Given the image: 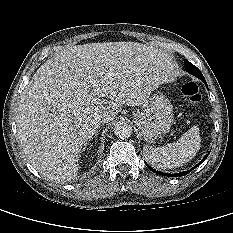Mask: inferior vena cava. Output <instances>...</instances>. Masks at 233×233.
<instances>
[{
    "label": "inferior vena cava",
    "mask_w": 233,
    "mask_h": 233,
    "mask_svg": "<svg viewBox=\"0 0 233 233\" xmlns=\"http://www.w3.org/2000/svg\"><path fill=\"white\" fill-rule=\"evenodd\" d=\"M105 122V118L103 115L97 114L95 115L91 121L90 124L94 127H100V125Z\"/></svg>",
    "instance_id": "obj_1"
}]
</instances>
